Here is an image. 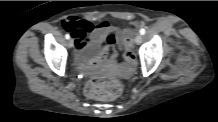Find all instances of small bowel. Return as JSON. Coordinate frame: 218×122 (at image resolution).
<instances>
[{
	"label": "small bowel",
	"instance_id": "c3829d8e",
	"mask_svg": "<svg viewBox=\"0 0 218 122\" xmlns=\"http://www.w3.org/2000/svg\"><path fill=\"white\" fill-rule=\"evenodd\" d=\"M64 28L69 31L76 44V49L78 52L79 58L83 59L86 56L90 57L92 55L98 54L101 50V45L105 44L102 41V32L106 28H110L108 22L103 21L97 25L92 24L91 22L78 18V17H69L63 21ZM120 38L118 41V49L122 50L124 46L123 33L120 30ZM84 62L76 63V72L78 73V64H83Z\"/></svg>",
	"mask_w": 218,
	"mask_h": 122
}]
</instances>
